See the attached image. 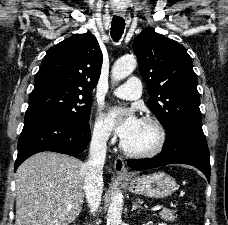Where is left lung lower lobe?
<instances>
[{"instance_id":"0a47b994","label":"left lung lower lobe","mask_w":228,"mask_h":225,"mask_svg":"<svg viewBox=\"0 0 228 225\" xmlns=\"http://www.w3.org/2000/svg\"><path fill=\"white\" fill-rule=\"evenodd\" d=\"M161 153L149 159H132L130 169L145 170L168 164H188L202 171L210 182L209 149L202 126L180 124L167 130Z\"/></svg>"}]
</instances>
